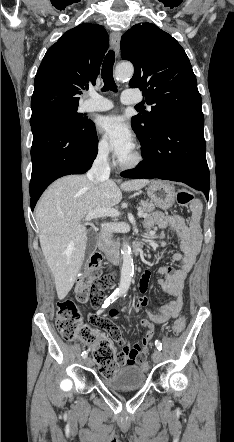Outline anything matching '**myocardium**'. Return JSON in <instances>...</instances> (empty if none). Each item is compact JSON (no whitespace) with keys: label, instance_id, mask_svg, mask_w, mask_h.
I'll return each instance as SVG.
<instances>
[{"label":"myocardium","instance_id":"obj_1","mask_svg":"<svg viewBox=\"0 0 234 442\" xmlns=\"http://www.w3.org/2000/svg\"><path fill=\"white\" fill-rule=\"evenodd\" d=\"M144 159L143 151L139 146L134 148V156L132 159L125 161L122 159L117 160L118 166L123 170H132L138 167Z\"/></svg>","mask_w":234,"mask_h":442}]
</instances>
